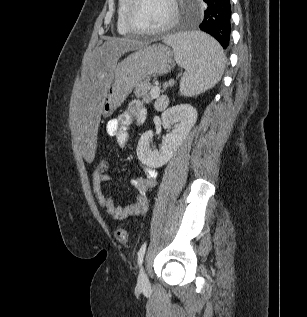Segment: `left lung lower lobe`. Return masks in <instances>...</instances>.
<instances>
[{
    "instance_id": "left-lung-lower-lobe-1",
    "label": "left lung lower lobe",
    "mask_w": 307,
    "mask_h": 317,
    "mask_svg": "<svg viewBox=\"0 0 307 317\" xmlns=\"http://www.w3.org/2000/svg\"><path fill=\"white\" fill-rule=\"evenodd\" d=\"M207 8L199 29L213 36L226 49L230 40V0H203Z\"/></svg>"
}]
</instances>
